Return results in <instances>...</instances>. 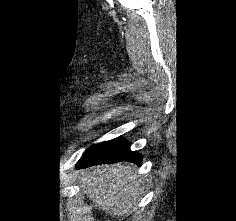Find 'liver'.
<instances>
[{
  "label": "liver",
  "instance_id": "liver-1",
  "mask_svg": "<svg viewBox=\"0 0 236 221\" xmlns=\"http://www.w3.org/2000/svg\"><path fill=\"white\" fill-rule=\"evenodd\" d=\"M78 179L82 191L106 214H130L140 200L142 181L133 165L97 166L80 171Z\"/></svg>",
  "mask_w": 236,
  "mask_h": 221
}]
</instances>
